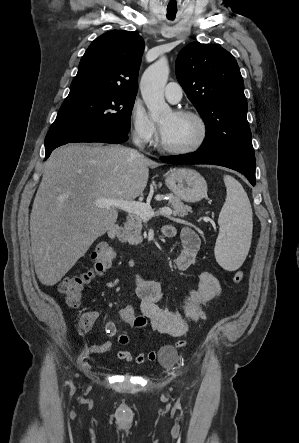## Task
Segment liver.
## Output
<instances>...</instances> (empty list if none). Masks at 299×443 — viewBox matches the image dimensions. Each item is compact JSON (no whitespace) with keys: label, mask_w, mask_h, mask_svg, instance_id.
Returning <instances> with one entry per match:
<instances>
[{"label":"liver","mask_w":299,"mask_h":443,"mask_svg":"<svg viewBox=\"0 0 299 443\" xmlns=\"http://www.w3.org/2000/svg\"><path fill=\"white\" fill-rule=\"evenodd\" d=\"M157 166L117 145L69 144L52 152L30 215L33 261L42 284L58 283L114 227L117 208H98L95 201H133L146 188L149 167Z\"/></svg>","instance_id":"6515ba94"}]
</instances>
